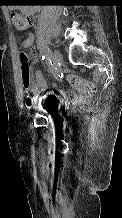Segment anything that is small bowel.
Returning <instances> with one entry per match:
<instances>
[{
  "instance_id": "c3829d8e",
  "label": "small bowel",
  "mask_w": 122,
  "mask_h": 218,
  "mask_svg": "<svg viewBox=\"0 0 122 218\" xmlns=\"http://www.w3.org/2000/svg\"><path fill=\"white\" fill-rule=\"evenodd\" d=\"M33 43H34V35L29 32V33H27L25 38H23V40L21 41V46L23 48H31L33 46ZM30 56H31V63L32 64H35L38 62V56H37V53L35 50L31 51ZM54 86H56V85L54 84ZM47 88H48V85H47V82L44 79L42 73L40 71H35L33 74L32 87L30 90L32 96L27 99V104L28 105L34 104L38 99L39 93L46 91ZM45 97L54 98V100H53L54 103H56L57 101H59L61 99L53 92L48 93ZM62 97L67 98V96L64 92H62ZM77 98H78V96H73V99H77ZM51 105H52V102H50L49 104H44L43 107L47 109V107H49Z\"/></svg>"
}]
</instances>
